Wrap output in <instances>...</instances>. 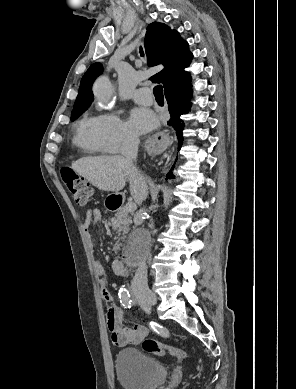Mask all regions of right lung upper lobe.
Instances as JSON below:
<instances>
[{"label":"right lung upper lobe","instance_id":"cb5924a9","mask_svg":"<svg viewBox=\"0 0 296 389\" xmlns=\"http://www.w3.org/2000/svg\"><path fill=\"white\" fill-rule=\"evenodd\" d=\"M144 43L146 54L151 57L149 65L155 66L162 63L165 66L163 70L151 77L153 82H161L165 88L174 80H191L189 73L184 72V68L189 66L192 54L188 43L179 36L177 31L171 30L165 24L153 22L147 27ZM101 73V64L94 63L89 67L81 80L74 110L91 105L92 84Z\"/></svg>","mask_w":296,"mask_h":389}]
</instances>
